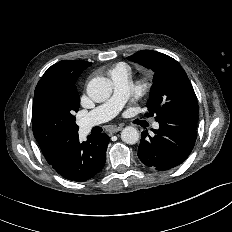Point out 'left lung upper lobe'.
I'll list each match as a JSON object with an SVG mask.
<instances>
[{
  "instance_id": "5c2ea615",
  "label": "left lung upper lobe",
  "mask_w": 232,
  "mask_h": 232,
  "mask_svg": "<svg viewBox=\"0 0 232 232\" xmlns=\"http://www.w3.org/2000/svg\"><path fill=\"white\" fill-rule=\"evenodd\" d=\"M127 59L154 72L146 116L156 115L157 121L170 114H198L196 95L179 62L152 50L139 51Z\"/></svg>"
}]
</instances>
